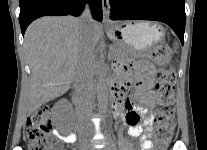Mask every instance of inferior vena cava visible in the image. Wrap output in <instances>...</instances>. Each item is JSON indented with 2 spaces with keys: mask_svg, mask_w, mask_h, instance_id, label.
Returning <instances> with one entry per match:
<instances>
[{
  "mask_svg": "<svg viewBox=\"0 0 207 150\" xmlns=\"http://www.w3.org/2000/svg\"><path fill=\"white\" fill-rule=\"evenodd\" d=\"M79 21L81 24V42L76 64L75 85L78 99L89 102L93 90L95 44L90 36L92 19L88 9L84 11Z\"/></svg>",
  "mask_w": 207,
  "mask_h": 150,
  "instance_id": "obj_1",
  "label": "inferior vena cava"
}]
</instances>
